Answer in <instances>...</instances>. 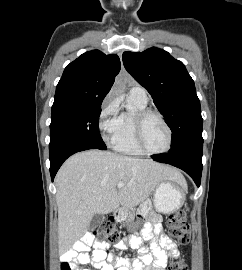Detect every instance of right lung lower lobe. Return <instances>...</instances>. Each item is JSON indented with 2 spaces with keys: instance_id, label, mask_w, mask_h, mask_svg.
Masks as SVG:
<instances>
[{
  "instance_id": "1",
  "label": "right lung lower lobe",
  "mask_w": 242,
  "mask_h": 270,
  "mask_svg": "<svg viewBox=\"0 0 242 270\" xmlns=\"http://www.w3.org/2000/svg\"><path fill=\"white\" fill-rule=\"evenodd\" d=\"M88 149H100L88 144L71 145L58 149L50 154V174L52 181L63 162L72 154ZM105 150V149H101Z\"/></svg>"
}]
</instances>
